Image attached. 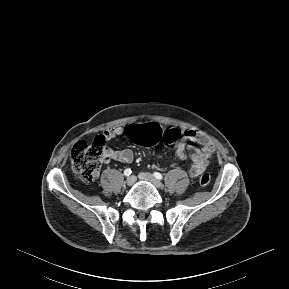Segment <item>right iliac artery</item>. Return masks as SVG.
Returning <instances> with one entry per match:
<instances>
[{
	"label": "right iliac artery",
	"mask_w": 289,
	"mask_h": 289,
	"mask_svg": "<svg viewBox=\"0 0 289 289\" xmlns=\"http://www.w3.org/2000/svg\"><path fill=\"white\" fill-rule=\"evenodd\" d=\"M131 173H132V171H131L130 168H127V169L124 170V175L125 176H129Z\"/></svg>",
	"instance_id": "82829eb1"
}]
</instances>
